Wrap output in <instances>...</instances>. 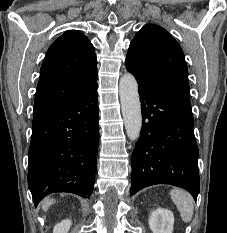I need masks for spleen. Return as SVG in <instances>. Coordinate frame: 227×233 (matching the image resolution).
<instances>
[{
	"label": "spleen",
	"instance_id": "obj_1",
	"mask_svg": "<svg viewBox=\"0 0 227 233\" xmlns=\"http://www.w3.org/2000/svg\"><path fill=\"white\" fill-rule=\"evenodd\" d=\"M173 203L180 212L181 218L188 223L192 220L194 212V200L192 196L182 189H173L170 191Z\"/></svg>",
	"mask_w": 227,
	"mask_h": 233
}]
</instances>
